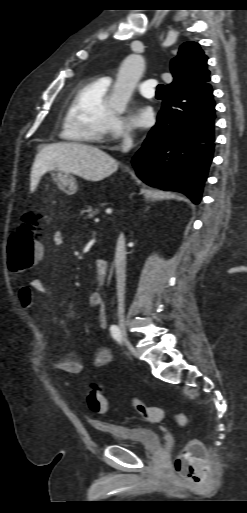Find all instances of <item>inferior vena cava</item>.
I'll use <instances>...</instances> for the list:
<instances>
[{
    "label": "inferior vena cava",
    "mask_w": 247,
    "mask_h": 513,
    "mask_svg": "<svg viewBox=\"0 0 247 513\" xmlns=\"http://www.w3.org/2000/svg\"><path fill=\"white\" fill-rule=\"evenodd\" d=\"M133 146V139L128 129L123 135L122 151L128 152ZM125 265H126V248L125 239L123 235L118 238L116 253H115V267L117 279V298H118V313L119 316L124 314V293H125Z\"/></svg>",
    "instance_id": "inferior-vena-cava-1"
}]
</instances>
